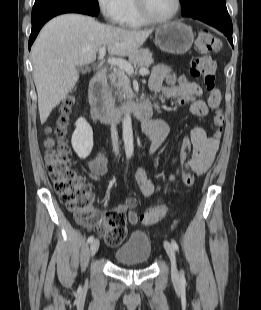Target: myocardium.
<instances>
[{
	"mask_svg": "<svg viewBox=\"0 0 261 310\" xmlns=\"http://www.w3.org/2000/svg\"><path fill=\"white\" fill-rule=\"evenodd\" d=\"M137 11L140 17L147 23V24H162L169 21H172L177 17L181 10L182 2L181 0H175V9L174 11L167 17L164 18H155L153 17L146 6L145 0H135Z\"/></svg>",
	"mask_w": 261,
	"mask_h": 310,
	"instance_id": "myocardium-1",
	"label": "myocardium"
}]
</instances>
